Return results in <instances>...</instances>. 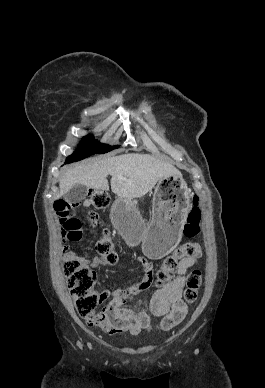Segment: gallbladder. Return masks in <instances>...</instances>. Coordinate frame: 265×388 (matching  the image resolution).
Returning <instances> with one entry per match:
<instances>
[{"label": "gallbladder", "instance_id": "gallbladder-1", "mask_svg": "<svg viewBox=\"0 0 265 388\" xmlns=\"http://www.w3.org/2000/svg\"><path fill=\"white\" fill-rule=\"evenodd\" d=\"M87 194V186H83V184H76L74 188H71V190L65 194L64 200L65 202H69V204H79L81 200H84Z\"/></svg>", "mask_w": 265, "mask_h": 388}]
</instances>
